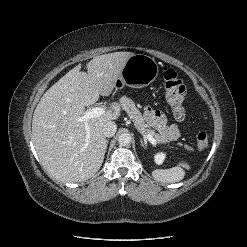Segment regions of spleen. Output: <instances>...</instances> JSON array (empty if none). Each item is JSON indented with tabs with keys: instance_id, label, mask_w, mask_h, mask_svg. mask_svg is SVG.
<instances>
[{
	"instance_id": "1",
	"label": "spleen",
	"mask_w": 247,
	"mask_h": 247,
	"mask_svg": "<svg viewBox=\"0 0 247 247\" xmlns=\"http://www.w3.org/2000/svg\"><path fill=\"white\" fill-rule=\"evenodd\" d=\"M186 166L184 163H179L177 166L169 169H156L152 172V176L155 180L164 183L179 182L185 176V170L182 167Z\"/></svg>"
}]
</instances>
